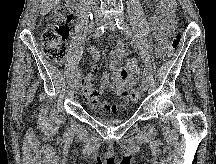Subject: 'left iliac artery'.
<instances>
[{
    "label": "left iliac artery",
    "instance_id": "44dca946",
    "mask_svg": "<svg viewBox=\"0 0 216 164\" xmlns=\"http://www.w3.org/2000/svg\"><path fill=\"white\" fill-rule=\"evenodd\" d=\"M116 25H117V27H118L122 32H124V33H126V34H128V35H132V32H131V30H130L128 24H127L124 20H122V19H117V20H116ZM141 72H142V76H143V77H146V76H147V73H146V71H145L144 69H143Z\"/></svg>",
    "mask_w": 216,
    "mask_h": 164
}]
</instances>
